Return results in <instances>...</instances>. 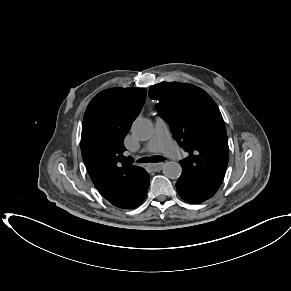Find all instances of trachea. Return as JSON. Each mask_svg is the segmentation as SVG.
<instances>
[{"mask_svg": "<svg viewBox=\"0 0 291 291\" xmlns=\"http://www.w3.org/2000/svg\"><path fill=\"white\" fill-rule=\"evenodd\" d=\"M163 161H165V159L159 155H155L152 157H142L138 160L139 163H148V162L157 163V162H163Z\"/></svg>", "mask_w": 291, "mask_h": 291, "instance_id": "trachea-1", "label": "trachea"}]
</instances>
